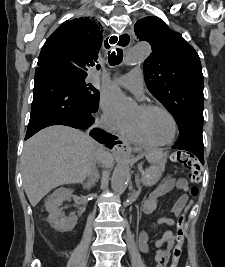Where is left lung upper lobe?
<instances>
[{"instance_id":"5c2ea615","label":"left lung upper lobe","mask_w":225,"mask_h":267,"mask_svg":"<svg viewBox=\"0 0 225 267\" xmlns=\"http://www.w3.org/2000/svg\"><path fill=\"white\" fill-rule=\"evenodd\" d=\"M140 40L148 41L152 53L143 64L151 94L174 117L182 142L203 131V74L194 48L156 16L145 17L134 25Z\"/></svg>"}]
</instances>
